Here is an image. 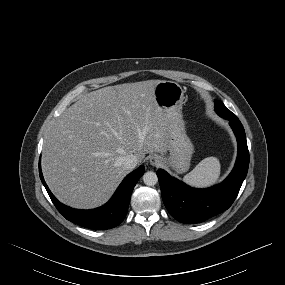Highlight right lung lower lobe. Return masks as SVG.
Listing matches in <instances>:
<instances>
[{
    "label": "right lung lower lobe",
    "mask_w": 285,
    "mask_h": 285,
    "mask_svg": "<svg viewBox=\"0 0 285 285\" xmlns=\"http://www.w3.org/2000/svg\"><path fill=\"white\" fill-rule=\"evenodd\" d=\"M144 172V166H140L138 169L128 174L121 182L110 201L102 207L92 210H78L60 203L51 193L44 181L41 165L39 163V175L41 181L57 210L67 220L75 224L98 230L116 227L123 221L128 210L133 188Z\"/></svg>",
    "instance_id": "1"
}]
</instances>
